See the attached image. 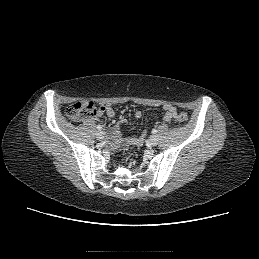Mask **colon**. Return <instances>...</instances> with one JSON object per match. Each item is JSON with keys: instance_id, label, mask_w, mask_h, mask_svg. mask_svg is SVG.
<instances>
[{"instance_id": "5ec220e1", "label": "colon", "mask_w": 259, "mask_h": 259, "mask_svg": "<svg viewBox=\"0 0 259 259\" xmlns=\"http://www.w3.org/2000/svg\"><path fill=\"white\" fill-rule=\"evenodd\" d=\"M99 110L100 108L91 101H79L71 104L66 109V115L69 119L78 121L95 117L99 113ZM175 118L181 124H185L188 121V116L184 112L177 113Z\"/></svg>"}]
</instances>
